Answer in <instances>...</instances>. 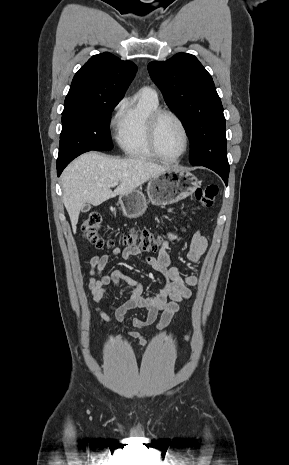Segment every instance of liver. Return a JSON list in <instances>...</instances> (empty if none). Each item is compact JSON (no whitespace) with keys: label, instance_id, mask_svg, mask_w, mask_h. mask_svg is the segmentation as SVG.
Returning a JSON list of instances; mask_svg holds the SVG:
<instances>
[{"label":"liver","instance_id":"6515ba94","mask_svg":"<svg viewBox=\"0 0 289 465\" xmlns=\"http://www.w3.org/2000/svg\"><path fill=\"white\" fill-rule=\"evenodd\" d=\"M170 167L143 159H115L89 152L71 162L61 175L63 203L76 233L79 213L85 203L98 206L117 195L135 190ZM119 185L112 191L111 185Z\"/></svg>","mask_w":289,"mask_h":465}]
</instances>
